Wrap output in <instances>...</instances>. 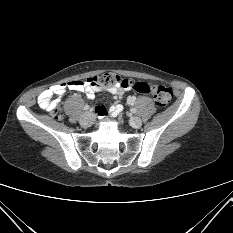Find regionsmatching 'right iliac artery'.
Returning <instances> with one entry per match:
<instances>
[{
    "label": "right iliac artery",
    "mask_w": 233,
    "mask_h": 233,
    "mask_svg": "<svg viewBox=\"0 0 233 233\" xmlns=\"http://www.w3.org/2000/svg\"><path fill=\"white\" fill-rule=\"evenodd\" d=\"M84 109H85V110H89V105H85V106H84ZM90 111H92V109H90Z\"/></svg>",
    "instance_id": "obj_1"
}]
</instances>
